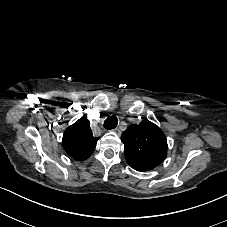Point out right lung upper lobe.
I'll return each instance as SVG.
<instances>
[{
	"instance_id": "1",
	"label": "right lung upper lobe",
	"mask_w": 227,
	"mask_h": 227,
	"mask_svg": "<svg viewBox=\"0 0 227 227\" xmlns=\"http://www.w3.org/2000/svg\"><path fill=\"white\" fill-rule=\"evenodd\" d=\"M98 139L93 137L89 121L82 117L65 130L62 143L70 157L84 161L93 153Z\"/></svg>"
}]
</instances>
